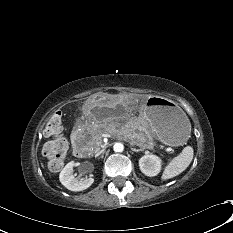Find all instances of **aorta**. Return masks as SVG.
<instances>
[{"label": "aorta", "instance_id": "762f6f07", "mask_svg": "<svg viewBox=\"0 0 233 233\" xmlns=\"http://www.w3.org/2000/svg\"><path fill=\"white\" fill-rule=\"evenodd\" d=\"M115 152H122L124 150V146L122 143H115L113 146Z\"/></svg>", "mask_w": 233, "mask_h": 233}]
</instances>
